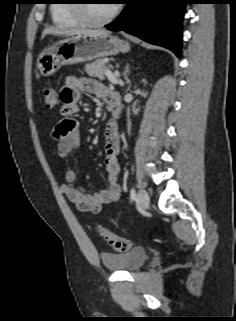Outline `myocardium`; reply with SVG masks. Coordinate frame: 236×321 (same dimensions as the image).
<instances>
[{"label":"myocardium","mask_w":236,"mask_h":321,"mask_svg":"<svg viewBox=\"0 0 236 321\" xmlns=\"http://www.w3.org/2000/svg\"><path fill=\"white\" fill-rule=\"evenodd\" d=\"M90 0H74L73 10L76 16L87 26L100 27L112 22L120 13L121 7L119 4H114L110 14L103 19H94L88 14V2Z\"/></svg>","instance_id":"myocardium-1"}]
</instances>
